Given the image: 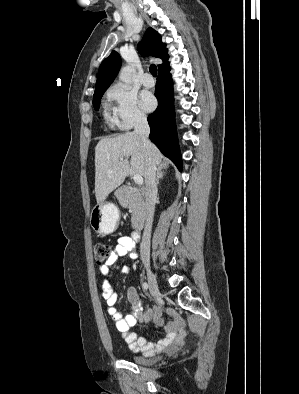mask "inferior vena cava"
<instances>
[{
    "label": "inferior vena cava",
    "instance_id": "602c4592",
    "mask_svg": "<svg viewBox=\"0 0 299 394\" xmlns=\"http://www.w3.org/2000/svg\"><path fill=\"white\" fill-rule=\"evenodd\" d=\"M134 133L138 135L142 141L143 147L146 152V172H145V183H146V222L144 232L142 236V242L140 245V255L143 263L148 264L150 262V239L153 216L155 211V201L157 198V185H156V164L152 155V144L148 139L150 128L147 122V118L138 114L135 119Z\"/></svg>",
    "mask_w": 299,
    "mask_h": 394
}]
</instances>
